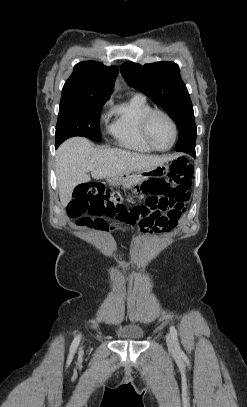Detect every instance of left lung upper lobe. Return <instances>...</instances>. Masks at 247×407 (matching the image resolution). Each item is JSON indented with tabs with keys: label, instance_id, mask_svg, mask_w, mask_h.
I'll use <instances>...</instances> for the list:
<instances>
[{
	"label": "left lung upper lobe",
	"instance_id": "1",
	"mask_svg": "<svg viewBox=\"0 0 247 407\" xmlns=\"http://www.w3.org/2000/svg\"><path fill=\"white\" fill-rule=\"evenodd\" d=\"M126 82L163 108L177 124L179 139L175 150L195 155L197 128L188 90L174 62L161 61L144 66L126 62L121 68Z\"/></svg>",
	"mask_w": 247,
	"mask_h": 407
}]
</instances>
